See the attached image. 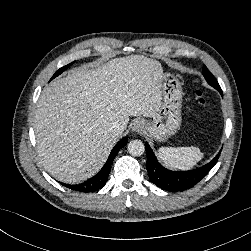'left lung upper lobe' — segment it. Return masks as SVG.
<instances>
[{
  "label": "left lung upper lobe",
  "instance_id": "obj_1",
  "mask_svg": "<svg viewBox=\"0 0 251 251\" xmlns=\"http://www.w3.org/2000/svg\"><path fill=\"white\" fill-rule=\"evenodd\" d=\"M206 81L208 82L209 85L215 87V86H219L217 80L215 79V77L213 76V74L208 70V68L206 66H203V71H202Z\"/></svg>",
  "mask_w": 251,
  "mask_h": 251
}]
</instances>
